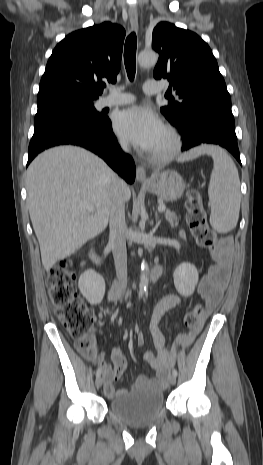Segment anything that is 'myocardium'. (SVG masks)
<instances>
[{
  "instance_id": "obj_1",
  "label": "myocardium",
  "mask_w": 263,
  "mask_h": 465,
  "mask_svg": "<svg viewBox=\"0 0 263 465\" xmlns=\"http://www.w3.org/2000/svg\"><path fill=\"white\" fill-rule=\"evenodd\" d=\"M169 140H170V147L161 153H151L150 158L153 162L163 164L168 163L175 159L179 153L181 152L182 148V139L178 131L170 126L167 125L164 128Z\"/></svg>"
}]
</instances>
